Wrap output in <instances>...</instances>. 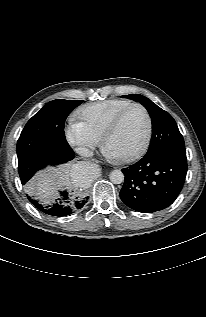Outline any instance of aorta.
<instances>
[{"label": "aorta", "mask_w": 206, "mask_h": 317, "mask_svg": "<svg viewBox=\"0 0 206 317\" xmlns=\"http://www.w3.org/2000/svg\"><path fill=\"white\" fill-rule=\"evenodd\" d=\"M94 170L95 167L92 164L86 163L82 165L79 172L80 178L84 180L91 178ZM109 179L114 184H121L124 181V174L121 170H113L109 175Z\"/></svg>", "instance_id": "aorta-1"}]
</instances>
